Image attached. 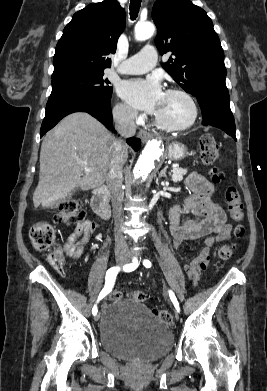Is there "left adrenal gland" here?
<instances>
[{
  "label": "left adrenal gland",
  "instance_id": "1",
  "mask_svg": "<svg viewBox=\"0 0 267 391\" xmlns=\"http://www.w3.org/2000/svg\"><path fill=\"white\" fill-rule=\"evenodd\" d=\"M167 168H168V166L166 165V166L160 171V173H159V179H160L161 177L167 178V175H166V170H167Z\"/></svg>",
  "mask_w": 267,
  "mask_h": 391
}]
</instances>
